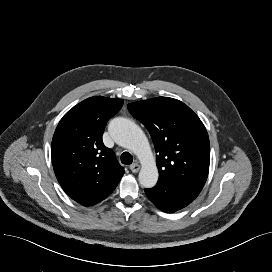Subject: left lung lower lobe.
I'll list each match as a JSON object with an SVG mask.
<instances>
[{
    "label": "left lung lower lobe",
    "mask_w": 272,
    "mask_h": 272,
    "mask_svg": "<svg viewBox=\"0 0 272 272\" xmlns=\"http://www.w3.org/2000/svg\"><path fill=\"white\" fill-rule=\"evenodd\" d=\"M145 193L157 208L173 213L189 205L200 191L180 183L158 181L152 189H145Z\"/></svg>",
    "instance_id": "obj_1"
}]
</instances>
